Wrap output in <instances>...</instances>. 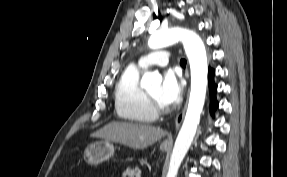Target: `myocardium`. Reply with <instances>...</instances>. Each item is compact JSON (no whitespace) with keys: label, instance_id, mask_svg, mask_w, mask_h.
Returning a JSON list of instances; mask_svg holds the SVG:
<instances>
[{"label":"myocardium","instance_id":"1","mask_svg":"<svg viewBox=\"0 0 287 177\" xmlns=\"http://www.w3.org/2000/svg\"><path fill=\"white\" fill-rule=\"evenodd\" d=\"M146 93V97L148 99L149 105L152 109V111L156 114H164L169 112V109L167 107H164L161 105L153 96H151L148 92Z\"/></svg>","mask_w":287,"mask_h":177}]
</instances>
